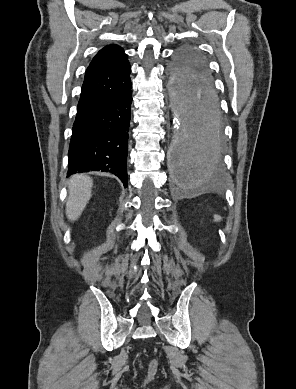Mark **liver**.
I'll list each match as a JSON object with an SVG mask.
<instances>
[{"instance_id":"6515ba94","label":"liver","mask_w":296,"mask_h":389,"mask_svg":"<svg viewBox=\"0 0 296 389\" xmlns=\"http://www.w3.org/2000/svg\"><path fill=\"white\" fill-rule=\"evenodd\" d=\"M92 179L84 174H77L68 183L69 196L66 202V215L71 221L77 220L91 198Z\"/></svg>"}]
</instances>
